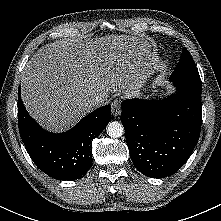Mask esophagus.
<instances>
[{"label": "esophagus", "mask_w": 221, "mask_h": 221, "mask_svg": "<svg viewBox=\"0 0 221 221\" xmlns=\"http://www.w3.org/2000/svg\"><path fill=\"white\" fill-rule=\"evenodd\" d=\"M111 111L114 117H117L121 114V104L118 98L114 99L111 103Z\"/></svg>", "instance_id": "34e87169"}]
</instances>
